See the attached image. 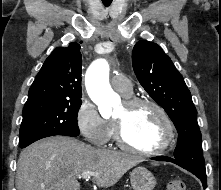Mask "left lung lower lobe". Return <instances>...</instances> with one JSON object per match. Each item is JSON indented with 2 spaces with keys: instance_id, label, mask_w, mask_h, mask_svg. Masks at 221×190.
<instances>
[{
  "instance_id": "1",
  "label": "left lung lower lobe",
  "mask_w": 221,
  "mask_h": 190,
  "mask_svg": "<svg viewBox=\"0 0 221 190\" xmlns=\"http://www.w3.org/2000/svg\"><path fill=\"white\" fill-rule=\"evenodd\" d=\"M152 159L153 160H158V161H168V162H172V163H175V164L179 165L180 167L190 171L195 176H197L202 181L203 187L204 188L206 187V171H202V170H199V169H195L191 166H188L187 164H184V163L180 162L176 158H170V157H167V156H157V157H154Z\"/></svg>"
}]
</instances>
